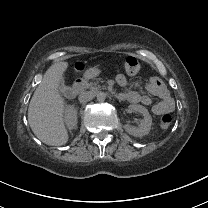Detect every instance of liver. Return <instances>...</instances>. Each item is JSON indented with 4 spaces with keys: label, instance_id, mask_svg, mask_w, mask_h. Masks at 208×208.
<instances>
[{
    "label": "liver",
    "instance_id": "liver-1",
    "mask_svg": "<svg viewBox=\"0 0 208 208\" xmlns=\"http://www.w3.org/2000/svg\"><path fill=\"white\" fill-rule=\"evenodd\" d=\"M67 67V62L50 66L29 103V125L37 138L47 145L60 146L68 141L63 122L65 102L58 91Z\"/></svg>",
    "mask_w": 208,
    "mask_h": 208
}]
</instances>
